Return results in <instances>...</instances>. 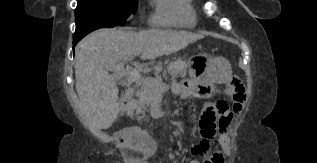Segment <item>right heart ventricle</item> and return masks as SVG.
I'll use <instances>...</instances> for the list:
<instances>
[{
  "mask_svg": "<svg viewBox=\"0 0 317 163\" xmlns=\"http://www.w3.org/2000/svg\"><path fill=\"white\" fill-rule=\"evenodd\" d=\"M154 11L150 24L156 27L188 28L194 26L196 15L192 0H152Z\"/></svg>",
  "mask_w": 317,
  "mask_h": 163,
  "instance_id": "right-heart-ventricle-1",
  "label": "right heart ventricle"
}]
</instances>
